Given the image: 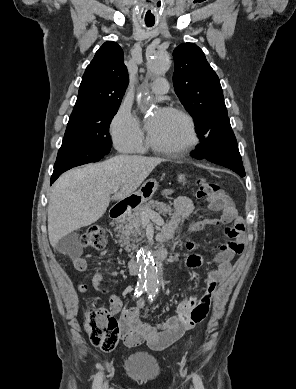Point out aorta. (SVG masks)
<instances>
[{
	"mask_svg": "<svg viewBox=\"0 0 296 389\" xmlns=\"http://www.w3.org/2000/svg\"><path fill=\"white\" fill-rule=\"evenodd\" d=\"M171 64L169 53L164 49L153 50L148 58L147 68L151 75H164ZM138 259L141 266L139 284L154 291L159 281V267L153 258L151 250L146 247L138 250Z\"/></svg>",
	"mask_w": 296,
	"mask_h": 389,
	"instance_id": "1",
	"label": "aorta"
}]
</instances>
